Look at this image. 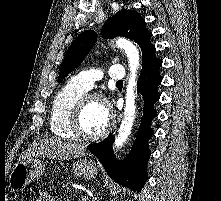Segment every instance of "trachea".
<instances>
[{"label": "trachea", "mask_w": 221, "mask_h": 201, "mask_svg": "<svg viewBox=\"0 0 221 201\" xmlns=\"http://www.w3.org/2000/svg\"><path fill=\"white\" fill-rule=\"evenodd\" d=\"M117 84H118V85H122V84H123V81H118Z\"/></svg>", "instance_id": "3493384b"}]
</instances>
